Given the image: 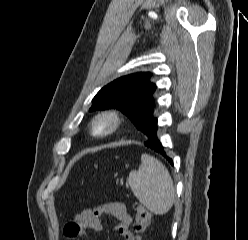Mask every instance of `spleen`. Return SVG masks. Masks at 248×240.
<instances>
[{
	"instance_id": "3e777b00",
	"label": "spleen",
	"mask_w": 248,
	"mask_h": 240,
	"mask_svg": "<svg viewBox=\"0 0 248 240\" xmlns=\"http://www.w3.org/2000/svg\"><path fill=\"white\" fill-rule=\"evenodd\" d=\"M135 197L156 215L166 214L173 206L175 188L166 167L156 158L143 154L139 169L127 178Z\"/></svg>"
}]
</instances>
